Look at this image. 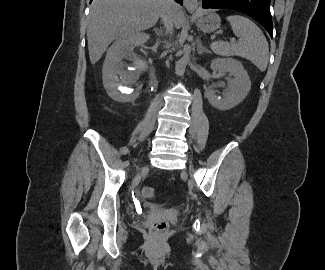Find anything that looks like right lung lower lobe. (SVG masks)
Listing matches in <instances>:
<instances>
[{"label":"right lung lower lobe","instance_id":"1","mask_svg":"<svg viewBox=\"0 0 325 270\" xmlns=\"http://www.w3.org/2000/svg\"><path fill=\"white\" fill-rule=\"evenodd\" d=\"M92 1V0H91ZM176 2H178L179 4H183V0H175Z\"/></svg>","mask_w":325,"mask_h":270}]
</instances>
